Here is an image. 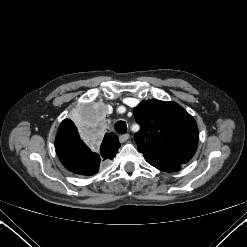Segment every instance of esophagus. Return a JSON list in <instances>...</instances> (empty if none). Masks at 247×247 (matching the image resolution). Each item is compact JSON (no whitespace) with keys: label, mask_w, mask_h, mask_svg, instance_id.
Masks as SVG:
<instances>
[{"label":"esophagus","mask_w":247,"mask_h":247,"mask_svg":"<svg viewBox=\"0 0 247 247\" xmlns=\"http://www.w3.org/2000/svg\"><path fill=\"white\" fill-rule=\"evenodd\" d=\"M129 138H130L129 134L120 135V136H119V141H120L121 143H124V142H126L127 140H129Z\"/></svg>","instance_id":"34e87169"}]
</instances>
